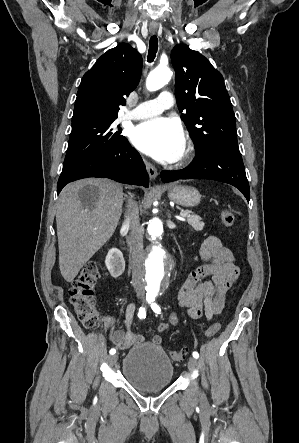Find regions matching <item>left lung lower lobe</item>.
<instances>
[{
  "mask_svg": "<svg viewBox=\"0 0 299 443\" xmlns=\"http://www.w3.org/2000/svg\"><path fill=\"white\" fill-rule=\"evenodd\" d=\"M164 183L179 179H211L238 188L249 201L250 190L240 152L227 148H210L196 154L192 163L177 171H162Z\"/></svg>",
  "mask_w": 299,
  "mask_h": 443,
  "instance_id": "1",
  "label": "left lung lower lobe"
}]
</instances>
